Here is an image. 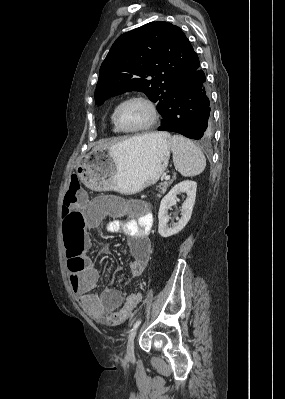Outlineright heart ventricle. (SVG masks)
Instances as JSON below:
<instances>
[{"label": "right heart ventricle", "mask_w": 285, "mask_h": 399, "mask_svg": "<svg viewBox=\"0 0 285 399\" xmlns=\"http://www.w3.org/2000/svg\"><path fill=\"white\" fill-rule=\"evenodd\" d=\"M114 113H115V109L113 110L112 114H111V123L113 125V131L116 133L122 132L121 130L118 129L115 120H114Z\"/></svg>", "instance_id": "right-heart-ventricle-1"}]
</instances>
